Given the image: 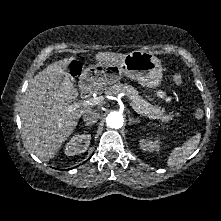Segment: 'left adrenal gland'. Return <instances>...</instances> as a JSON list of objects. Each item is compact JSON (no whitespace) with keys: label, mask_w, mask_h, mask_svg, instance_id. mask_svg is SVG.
Segmentation results:
<instances>
[{"label":"left adrenal gland","mask_w":221,"mask_h":221,"mask_svg":"<svg viewBox=\"0 0 221 221\" xmlns=\"http://www.w3.org/2000/svg\"><path fill=\"white\" fill-rule=\"evenodd\" d=\"M139 121H138V119H134V118H132L130 115H129V125H131L132 123L133 124H136V123H138Z\"/></svg>","instance_id":"obj_1"}]
</instances>
